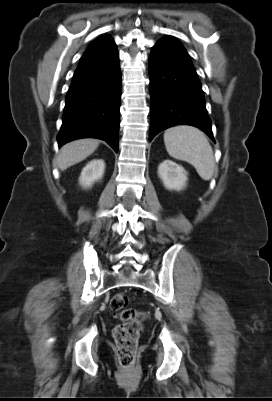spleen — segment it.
Segmentation results:
<instances>
[{
	"mask_svg": "<svg viewBox=\"0 0 272 401\" xmlns=\"http://www.w3.org/2000/svg\"><path fill=\"white\" fill-rule=\"evenodd\" d=\"M164 143L171 157L193 165L203 180L212 178L215 159L203 132L190 126L172 127L165 131Z\"/></svg>",
	"mask_w": 272,
	"mask_h": 401,
	"instance_id": "obj_1",
	"label": "spleen"
}]
</instances>
